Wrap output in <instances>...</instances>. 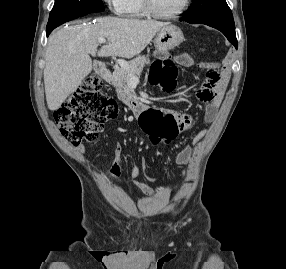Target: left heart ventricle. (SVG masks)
Wrapping results in <instances>:
<instances>
[{"instance_id":"b2bd125f","label":"left heart ventricle","mask_w":286,"mask_h":269,"mask_svg":"<svg viewBox=\"0 0 286 269\" xmlns=\"http://www.w3.org/2000/svg\"><path fill=\"white\" fill-rule=\"evenodd\" d=\"M184 0H152L155 10L161 14H169L178 10Z\"/></svg>"}]
</instances>
